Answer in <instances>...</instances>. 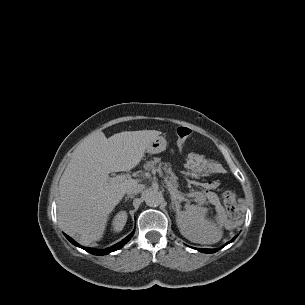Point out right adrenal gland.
Segmentation results:
<instances>
[{
	"instance_id": "right-adrenal-gland-1",
	"label": "right adrenal gland",
	"mask_w": 305,
	"mask_h": 305,
	"mask_svg": "<svg viewBox=\"0 0 305 305\" xmlns=\"http://www.w3.org/2000/svg\"><path fill=\"white\" fill-rule=\"evenodd\" d=\"M129 198H131V199L134 198V195H128V196H126V197H125V202H126Z\"/></svg>"
}]
</instances>
